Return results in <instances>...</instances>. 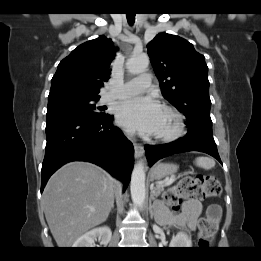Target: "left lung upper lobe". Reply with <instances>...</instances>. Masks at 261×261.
I'll use <instances>...</instances> for the list:
<instances>
[{
    "label": "left lung upper lobe",
    "instance_id": "obj_1",
    "mask_svg": "<svg viewBox=\"0 0 261 261\" xmlns=\"http://www.w3.org/2000/svg\"><path fill=\"white\" fill-rule=\"evenodd\" d=\"M163 96L186 118V125H212L208 67L187 40L159 33L147 45Z\"/></svg>",
    "mask_w": 261,
    "mask_h": 261
}]
</instances>
